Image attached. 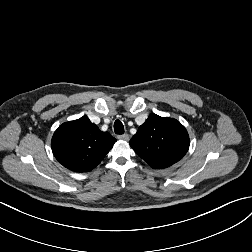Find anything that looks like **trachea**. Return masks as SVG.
Segmentation results:
<instances>
[{
  "label": "trachea",
  "instance_id": "obj_1",
  "mask_svg": "<svg viewBox=\"0 0 252 252\" xmlns=\"http://www.w3.org/2000/svg\"><path fill=\"white\" fill-rule=\"evenodd\" d=\"M114 131L118 135L124 134V126L120 120L114 122Z\"/></svg>",
  "mask_w": 252,
  "mask_h": 252
}]
</instances>
